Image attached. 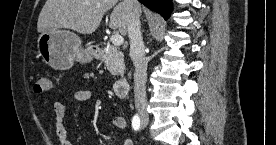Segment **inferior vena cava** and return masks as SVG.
<instances>
[{"label": "inferior vena cava", "instance_id": "inferior-vena-cava-1", "mask_svg": "<svg viewBox=\"0 0 276 145\" xmlns=\"http://www.w3.org/2000/svg\"><path fill=\"white\" fill-rule=\"evenodd\" d=\"M123 4L130 12L128 19V37L130 39V58L135 67L134 72V102L140 115L146 114V81L147 64L144 43L140 25V5L137 0H123Z\"/></svg>", "mask_w": 276, "mask_h": 145}]
</instances>
